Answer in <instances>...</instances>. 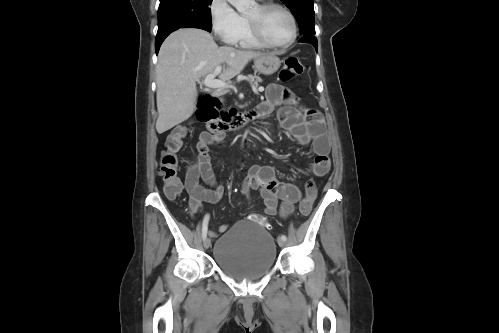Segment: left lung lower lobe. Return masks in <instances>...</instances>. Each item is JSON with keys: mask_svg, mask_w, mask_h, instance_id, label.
I'll use <instances>...</instances> for the list:
<instances>
[{"mask_svg": "<svg viewBox=\"0 0 499 333\" xmlns=\"http://www.w3.org/2000/svg\"><path fill=\"white\" fill-rule=\"evenodd\" d=\"M299 42H306L312 44L317 51V39L314 36L303 35Z\"/></svg>", "mask_w": 499, "mask_h": 333, "instance_id": "left-lung-lower-lobe-1", "label": "left lung lower lobe"}]
</instances>
